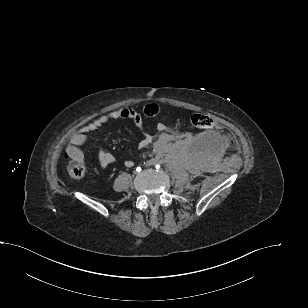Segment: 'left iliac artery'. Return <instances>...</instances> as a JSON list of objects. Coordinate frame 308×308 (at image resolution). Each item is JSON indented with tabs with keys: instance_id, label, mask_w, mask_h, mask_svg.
Wrapping results in <instances>:
<instances>
[{
	"instance_id": "1",
	"label": "left iliac artery",
	"mask_w": 308,
	"mask_h": 308,
	"mask_svg": "<svg viewBox=\"0 0 308 308\" xmlns=\"http://www.w3.org/2000/svg\"><path fill=\"white\" fill-rule=\"evenodd\" d=\"M159 167H160V165H159V164H157V165H156V168L158 169Z\"/></svg>"
}]
</instances>
